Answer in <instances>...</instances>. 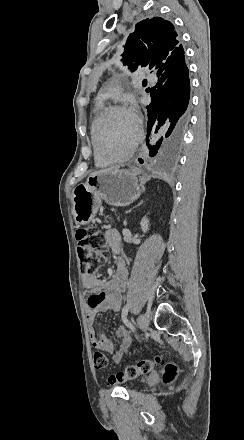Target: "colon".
Returning <instances> with one entry per match:
<instances>
[{
    "instance_id": "obj_1",
    "label": "colon",
    "mask_w": 244,
    "mask_h": 440,
    "mask_svg": "<svg viewBox=\"0 0 244 440\" xmlns=\"http://www.w3.org/2000/svg\"><path fill=\"white\" fill-rule=\"evenodd\" d=\"M77 252L79 259L83 263L85 271L90 273L102 263L101 254L105 248V238L101 231L92 228H79L76 231ZM163 355L158 354L152 358L141 359L133 364L125 366L118 373H111L109 376L112 384L120 382L133 381L142 375L151 372L155 364L161 363ZM92 363L96 369H106L108 366V358L102 351H94L92 355ZM178 368L170 365L163 372L165 382L172 381L174 375L178 372Z\"/></svg>"
}]
</instances>
